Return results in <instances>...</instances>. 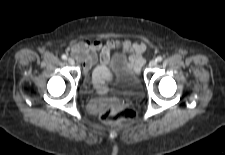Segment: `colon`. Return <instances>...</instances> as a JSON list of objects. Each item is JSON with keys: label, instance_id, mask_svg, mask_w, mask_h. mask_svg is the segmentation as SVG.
I'll list each match as a JSON object with an SVG mask.
<instances>
[{"label": "colon", "instance_id": "colon-1", "mask_svg": "<svg viewBox=\"0 0 225 155\" xmlns=\"http://www.w3.org/2000/svg\"><path fill=\"white\" fill-rule=\"evenodd\" d=\"M100 117L103 122L113 124L134 120L136 111L132 107L123 106L119 102H112L102 108Z\"/></svg>", "mask_w": 225, "mask_h": 155}]
</instances>
